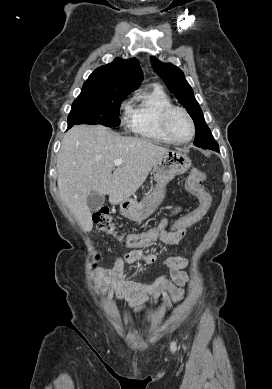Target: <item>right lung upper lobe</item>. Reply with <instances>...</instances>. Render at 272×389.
I'll return each instance as SVG.
<instances>
[{"label":"right lung upper lobe","mask_w":272,"mask_h":389,"mask_svg":"<svg viewBox=\"0 0 272 389\" xmlns=\"http://www.w3.org/2000/svg\"><path fill=\"white\" fill-rule=\"evenodd\" d=\"M143 80V74L136 58H116L112 63L97 68L83 86L134 91Z\"/></svg>","instance_id":"right-lung-upper-lobe-1"}]
</instances>
